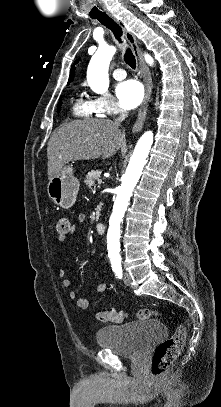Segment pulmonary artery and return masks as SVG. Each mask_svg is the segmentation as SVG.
<instances>
[{"label": "pulmonary artery", "instance_id": "pulmonary-artery-1", "mask_svg": "<svg viewBox=\"0 0 221 407\" xmlns=\"http://www.w3.org/2000/svg\"><path fill=\"white\" fill-rule=\"evenodd\" d=\"M113 77L116 80H123L126 77V71L123 68H116L113 71Z\"/></svg>", "mask_w": 221, "mask_h": 407}]
</instances>
